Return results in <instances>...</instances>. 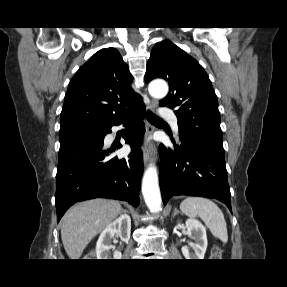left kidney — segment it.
I'll use <instances>...</instances> for the list:
<instances>
[{"label": "left kidney", "mask_w": 287, "mask_h": 287, "mask_svg": "<svg viewBox=\"0 0 287 287\" xmlns=\"http://www.w3.org/2000/svg\"><path fill=\"white\" fill-rule=\"evenodd\" d=\"M187 233L194 240L192 250L187 246L182 247L185 259H204L207 249V236L205 227L194 218L186 220Z\"/></svg>", "instance_id": "left-kidney-1"}]
</instances>
